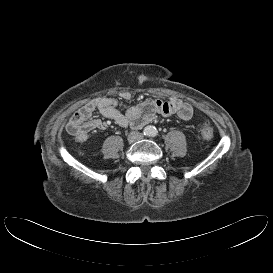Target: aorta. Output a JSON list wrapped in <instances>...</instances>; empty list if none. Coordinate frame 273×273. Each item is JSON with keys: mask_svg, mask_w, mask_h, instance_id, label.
Returning <instances> with one entry per match:
<instances>
[{"mask_svg": "<svg viewBox=\"0 0 273 273\" xmlns=\"http://www.w3.org/2000/svg\"><path fill=\"white\" fill-rule=\"evenodd\" d=\"M145 132H146L147 135L152 136V135L155 134L156 129H155V127H153V126H147V127L145 128Z\"/></svg>", "mask_w": 273, "mask_h": 273, "instance_id": "aorta-1", "label": "aorta"}]
</instances>
